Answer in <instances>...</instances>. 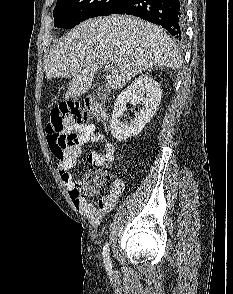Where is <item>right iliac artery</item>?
I'll return each mask as SVG.
<instances>
[{"label":"right iliac artery","instance_id":"1","mask_svg":"<svg viewBox=\"0 0 233 294\" xmlns=\"http://www.w3.org/2000/svg\"><path fill=\"white\" fill-rule=\"evenodd\" d=\"M103 261L105 264V268L107 272L111 275L112 274V264L110 260V254H109V244L105 243L103 247Z\"/></svg>","mask_w":233,"mask_h":294}]
</instances>
